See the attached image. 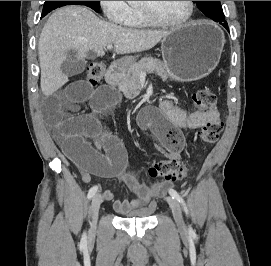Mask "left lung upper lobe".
<instances>
[{
    "label": "left lung upper lobe",
    "instance_id": "left-lung-upper-lobe-1",
    "mask_svg": "<svg viewBox=\"0 0 271 266\" xmlns=\"http://www.w3.org/2000/svg\"><path fill=\"white\" fill-rule=\"evenodd\" d=\"M198 8L210 19L216 22H224L225 16L220 1H194Z\"/></svg>",
    "mask_w": 271,
    "mask_h": 266
}]
</instances>
